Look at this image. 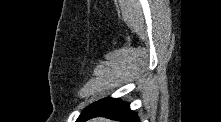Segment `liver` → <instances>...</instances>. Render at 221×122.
<instances>
[{"mask_svg":"<svg viewBox=\"0 0 221 122\" xmlns=\"http://www.w3.org/2000/svg\"><path fill=\"white\" fill-rule=\"evenodd\" d=\"M90 122H110V121L108 119L100 117V118H94Z\"/></svg>","mask_w":221,"mask_h":122,"instance_id":"obj_1","label":"liver"}]
</instances>
